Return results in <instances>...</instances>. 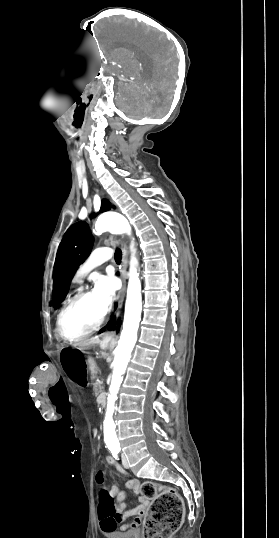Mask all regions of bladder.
I'll list each match as a JSON object with an SVG mask.
<instances>
[{
    "label": "bladder",
    "instance_id": "obj_1",
    "mask_svg": "<svg viewBox=\"0 0 279 538\" xmlns=\"http://www.w3.org/2000/svg\"><path fill=\"white\" fill-rule=\"evenodd\" d=\"M107 538H139L138 532H108Z\"/></svg>",
    "mask_w": 279,
    "mask_h": 538
}]
</instances>
